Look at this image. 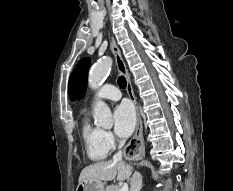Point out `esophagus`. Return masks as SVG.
Listing matches in <instances>:
<instances>
[{"mask_svg":"<svg viewBox=\"0 0 233 191\" xmlns=\"http://www.w3.org/2000/svg\"><path fill=\"white\" fill-rule=\"evenodd\" d=\"M111 50L115 57V63H116V68L118 72L122 74L126 79L127 94L129 98L132 100V102L134 103L135 108H136L137 124H136L135 133L125 147V149L127 150L125 152L126 158H132V161H135V156H144V137H143L142 118L140 115L139 106L136 100V96L134 94L133 86L131 83V79H130L126 64L113 38H111Z\"/></svg>","mask_w":233,"mask_h":191,"instance_id":"1","label":"esophagus"}]
</instances>
